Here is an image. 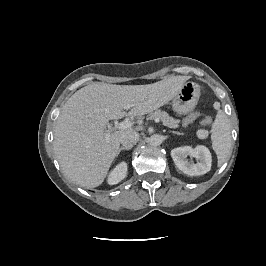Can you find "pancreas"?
Instances as JSON below:
<instances>
[{
	"label": "pancreas",
	"mask_w": 266,
	"mask_h": 266,
	"mask_svg": "<svg viewBox=\"0 0 266 266\" xmlns=\"http://www.w3.org/2000/svg\"><path fill=\"white\" fill-rule=\"evenodd\" d=\"M159 118L164 126H167L169 128H178V124L180 123V120L175 119L165 111L162 110H156L155 112H152L148 115V119H156Z\"/></svg>",
	"instance_id": "pancreas-1"
}]
</instances>
